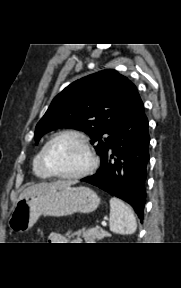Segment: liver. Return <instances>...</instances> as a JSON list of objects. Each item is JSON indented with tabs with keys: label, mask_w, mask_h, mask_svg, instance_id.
I'll return each mask as SVG.
<instances>
[{
	"label": "liver",
	"mask_w": 181,
	"mask_h": 288,
	"mask_svg": "<svg viewBox=\"0 0 181 288\" xmlns=\"http://www.w3.org/2000/svg\"><path fill=\"white\" fill-rule=\"evenodd\" d=\"M74 184V182L72 181H58L55 183H39V184H35L32 185L28 188H26L19 196V199H22L26 196H30V195H34V194H38L41 193L42 191H45L47 189H49L50 187L53 186H66V185H72Z\"/></svg>",
	"instance_id": "1"
}]
</instances>
